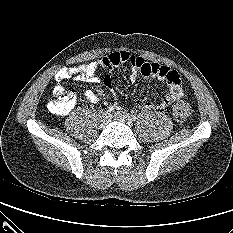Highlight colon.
<instances>
[{
    "label": "colon",
    "instance_id": "colon-1",
    "mask_svg": "<svg viewBox=\"0 0 233 233\" xmlns=\"http://www.w3.org/2000/svg\"><path fill=\"white\" fill-rule=\"evenodd\" d=\"M55 98L50 99L47 103L48 109L58 115L68 114L75 105V93L72 90L57 89ZM192 114V107L186 101H178L173 107V115L183 121Z\"/></svg>",
    "mask_w": 233,
    "mask_h": 233
}]
</instances>
